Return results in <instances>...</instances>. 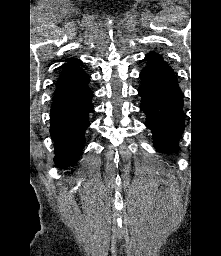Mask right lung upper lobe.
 I'll return each mask as SVG.
<instances>
[{
	"mask_svg": "<svg viewBox=\"0 0 221 256\" xmlns=\"http://www.w3.org/2000/svg\"><path fill=\"white\" fill-rule=\"evenodd\" d=\"M80 63V60L71 59L64 65L53 101L66 100L90 90L87 86L89 76L79 67Z\"/></svg>",
	"mask_w": 221,
	"mask_h": 256,
	"instance_id": "1",
	"label": "right lung upper lobe"
}]
</instances>
